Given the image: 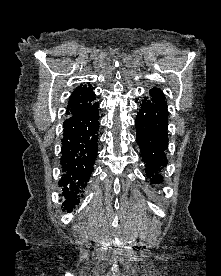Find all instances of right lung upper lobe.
<instances>
[{"label":"right lung upper lobe","mask_w":221,"mask_h":276,"mask_svg":"<svg viewBox=\"0 0 221 276\" xmlns=\"http://www.w3.org/2000/svg\"><path fill=\"white\" fill-rule=\"evenodd\" d=\"M94 100L95 94L91 86L80 85L69 99L66 114L70 116L80 115L94 103Z\"/></svg>","instance_id":"right-lung-upper-lobe-1"}]
</instances>
